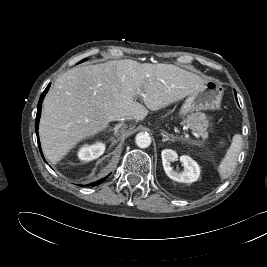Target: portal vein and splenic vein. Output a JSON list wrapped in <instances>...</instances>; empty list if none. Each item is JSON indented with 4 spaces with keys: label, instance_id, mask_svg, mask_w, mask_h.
Wrapping results in <instances>:
<instances>
[{
    "label": "portal vein and splenic vein",
    "instance_id": "portal-vein-and-splenic-vein-1",
    "mask_svg": "<svg viewBox=\"0 0 267 267\" xmlns=\"http://www.w3.org/2000/svg\"><path fill=\"white\" fill-rule=\"evenodd\" d=\"M138 94L143 95L140 91L138 92ZM193 135L196 136V137L199 136V135H198L197 133H195V132H193Z\"/></svg>",
    "mask_w": 267,
    "mask_h": 267
}]
</instances>
